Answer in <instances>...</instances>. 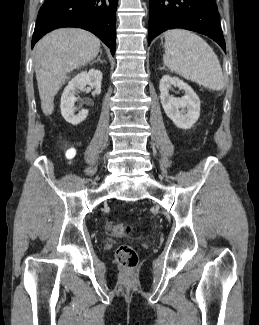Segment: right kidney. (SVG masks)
<instances>
[{"instance_id":"ca27d5eb","label":"right kidney","mask_w":259,"mask_h":325,"mask_svg":"<svg viewBox=\"0 0 259 325\" xmlns=\"http://www.w3.org/2000/svg\"><path fill=\"white\" fill-rule=\"evenodd\" d=\"M102 73L97 69H91L88 72L83 71L76 75L65 87L61 96V114L64 119L72 125H77L86 119L88 110L82 109L78 114H75V102L77 98L75 94L78 90H83L86 85L94 88V95H99L101 92Z\"/></svg>"}]
</instances>
